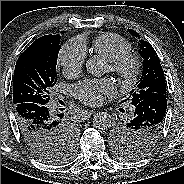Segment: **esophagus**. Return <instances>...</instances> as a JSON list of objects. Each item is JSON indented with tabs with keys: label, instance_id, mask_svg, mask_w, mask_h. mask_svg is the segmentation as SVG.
I'll use <instances>...</instances> for the list:
<instances>
[{
	"label": "esophagus",
	"instance_id": "obj_1",
	"mask_svg": "<svg viewBox=\"0 0 184 184\" xmlns=\"http://www.w3.org/2000/svg\"><path fill=\"white\" fill-rule=\"evenodd\" d=\"M85 113L88 114V115H92L93 113H95V111H93V110H86Z\"/></svg>",
	"mask_w": 184,
	"mask_h": 184
}]
</instances>
